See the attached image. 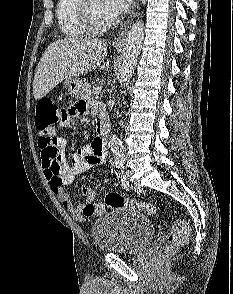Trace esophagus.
<instances>
[{
	"mask_svg": "<svg viewBox=\"0 0 233 294\" xmlns=\"http://www.w3.org/2000/svg\"><path fill=\"white\" fill-rule=\"evenodd\" d=\"M137 1H138V0H136V2H135V4H134V8H133L134 11H135V9H136V7H137V4H138ZM133 16H134V12L132 13L131 18H132ZM130 26H131V19L127 20V22H126V24H125L123 30L121 31L120 35L114 40L113 45H114L115 47H120V46H122V45L124 44V41H125V38H126V35H127V32H128V30H129Z\"/></svg>",
	"mask_w": 233,
	"mask_h": 294,
	"instance_id": "34e87169",
	"label": "esophagus"
}]
</instances>
